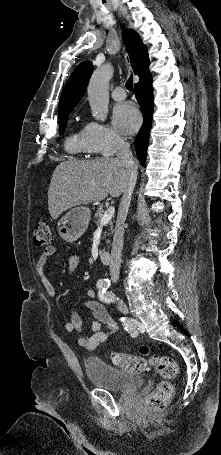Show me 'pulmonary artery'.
I'll return each instance as SVG.
<instances>
[{"label": "pulmonary artery", "instance_id": "obj_1", "mask_svg": "<svg viewBox=\"0 0 221 455\" xmlns=\"http://www.w3.org/2000/svg\"><path fill=\"white\" fill-rule=\"evenodd\" d=\"M112 98L116 101H122L126 98V93L122 87H116L112 91Z\"/></svg>", "mask_w": 221, "mask_h": 455}]
</instances>
